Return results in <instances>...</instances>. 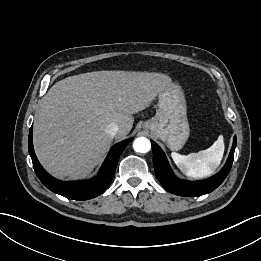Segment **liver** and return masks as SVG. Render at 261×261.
<instances>
[{"label": "liver", "mask_w": 261, "mask_h": 261, "mask_svg": "<svg viewBox=\"0 0 261 261\" xmlns=\"http://www.w3.org/2000/svg\"><path fill=\"white\" fill-rule=\"evenodd\" d=\"M161 73L95 71L67 77L47 92L36 115L33 141L43 167L56 178L87 176L101 161L113 137L114 122L123 139L133 114L171 87Z\"/></svg>", "instance_id": "6515ba94"}]
</instances>
